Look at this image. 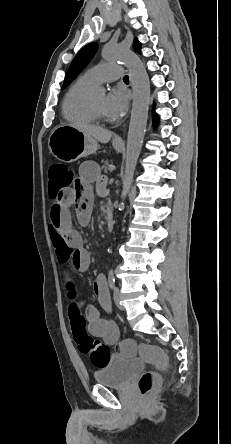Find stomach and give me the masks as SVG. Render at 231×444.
Wrapping results in <instances>:
<instances>
[{
	"mask_svg": "<svg viewBox=\"0 0 231 444\" xmlns=\"http://www.w3.org/2000/svg\"><path fill=\"white\" fill-rule=\"evenodd\" d=\"M48 145L51 153L64 162L93 154L99 147L95 139L70 125L57 126L49 137ZM113 146L117 151L123 149V144L114 142Z\"/></svg>",
	"mask_w": 231,
	"mask_h": 444,
	"instance_id": "0dacf381",
	"label": "stomach"
}]
</instances>
